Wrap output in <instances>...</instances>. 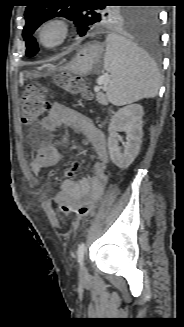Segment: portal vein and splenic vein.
<instances>
[{
    "instance_id": "portal-vein-and-splenic-vein-1",
    "label": "portal vein and splenic vein",
    "mask_w": 184,
    "mask_h": 327,
    "mask_svg": "<svg viewBox=\"0 0 184 327\" xmlns=\"http://www.w3.org/2000/svg\"><path fill=\"white\" fill-rule=\"evenodd\" d=\"M108 82V77L106 75H103V76H100L98 77L97 79V86L94 87V91L95 92H99L100 91V88L103 84L107 83Z\"/></svg>"
}]
</instances>
